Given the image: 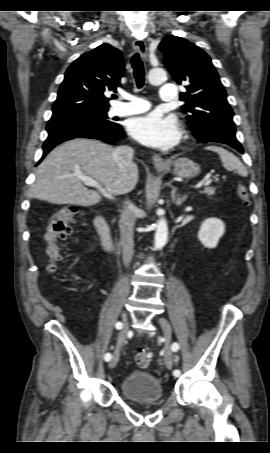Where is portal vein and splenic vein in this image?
Here are the masks:
<instances>
[{
  "label": "portal vein and splenic vein",
  "instance_id": "portal-vein-and-splenic-vein-1",
  "mask_svg": "<svg viewBox=\"0 0 270 453\" xmlns=\"http://www.w3.org/2000/svg\"><path fill=\"white\" fill-rule=\"evenodd\" d=\"M75 176L78 177L85 185L90 186V187H94L97 190H99L103 194L104 197H106L108 199H113V196L111 194H109L108 192H106L105 189L102 188V186L97 181H95L94 179H92L90 177H87V176H84L82 174H75ZM211 183H212V178H211L210 175H207L204 178V180L201 182V185L204 186V187H207Z\"/></svg>",
  "mask_w": 270,
  "mask_h": 453
}]
</instances>
